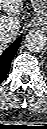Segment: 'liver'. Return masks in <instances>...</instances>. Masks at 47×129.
<instances>
[{
    "mask_svg": "<svg viewBox=\"0 0 47 129\" xmlns=\"http://www.w3.org/2000/svg\"><path fill=\"white\" fill-rule=\"evenodd\" d=\"M23 6L24 0H0V10L5 13L0 14V31L2 29L12 30L17 35L20 28L18 16L22 11ZM9 42L11 41L0 40V49L2 50Z\"/></svg>",
    "mask_w": 47,
    "mask_h": 129,
    "instance_id": "liver-1",
    "label": "liver"
}]
</instances>
